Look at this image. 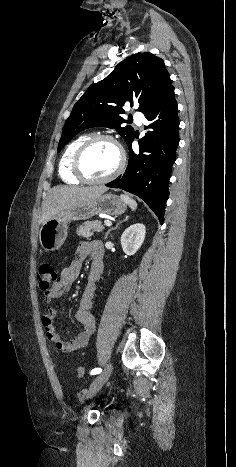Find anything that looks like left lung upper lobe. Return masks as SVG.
Segmentation results:
<instances>
[{"label": "left lung upper lobe", "instance_id": "5c2ea615", "mask_svg": "<svg viewBox=\"0 0 236 467\" xmlns=\"http://www.w3.org/2000/svg\"><path fill=\"white\" fill-rule=\"evenodd\" d=\"M172 87L171 79L163 60L145 52L128 57L120 62L104 80L90 87L74 105L67 119L57 152L84 129L104 126L114 128L128 143L134 136L130 126L122 118L126 102H138L139 109L146 113Z\"/></svg>", "mask_w": 236, "mask_h": 467}]
</instances>
